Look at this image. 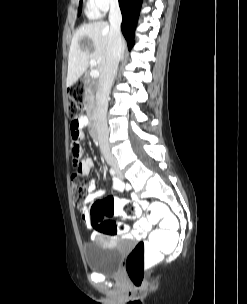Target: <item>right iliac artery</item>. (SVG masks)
Listing matches in <instances>:
<instances>
[{"label":"right iliac artery","instance_id":"right-iliac-artery-1","mask_svg":"<svg viewBox=\"0 0 247 304\" xmlns=\"http://www.w3.org/2000/svg\"><path fill=\"white\" fill-rule=\"evenodd\" d=\"M110 174L112 176H115V170L113 168H110ZM114 181H115V177H114Z\"/></svg>","mask_w":247,"mask_h":304}]
</instances>
